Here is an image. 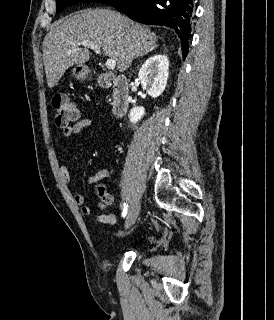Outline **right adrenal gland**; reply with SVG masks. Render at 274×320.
<instances>
[{
    "label": "right adrenal gland",
    "instance_id": "right-adrenal-gland-1",
    "mask_svg": "<svg viewBox=\"0 0 274 320\" xmlns=\"http://www.w3.org/2000/svg\"><path fill=\"white\" fill-rule=\"evenodd\" d=\"M154 48H156V46H154ZM147 54H149V52H146V54H141V56H136V58H143V56H147Z\"/></svg>",
    "mask_w": 274,
    "mask_h": 320
}]
</instances>
